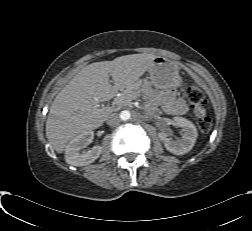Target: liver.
I'll return each instance as SVG.
<instances>
[{
    "label": "liver",
    "instance_id": "liver-1",
    "mask_svg": "<svg viewBox=\"0 0 252 231\" xmlns=\"http://www.w3.org/2000/svg\"><path fill=\"white\" fill-rule=\"evenodd\" d=\"M156 57L132 54L95 62L71 79L52 102L46 121V136L55 151L63 152L73 137L100 127L112 109L100 108L99 103L114 98L118 91L137 90L139 78L149 71Z\"/></svg>",
    "mask_w": 252,
    "mask_h": 231
}]
</instances>
